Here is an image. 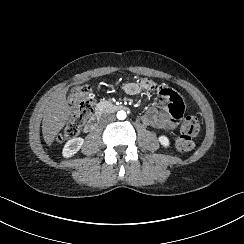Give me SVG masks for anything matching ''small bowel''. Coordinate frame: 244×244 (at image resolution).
Here are the masks:
<instances>
[{"instance_id":"small-bowel-1","label":"small bowel","mask_w":244,"mask_h":244,"mask_svg":"<svg viewBox=\"0 0 244 244\" xmlns=\"http://www.w3.org/2000/svg\"><path fill=\"white\" fill-rule=\"evenodd\" d=\"M123 90L131 96L138 95L142 91L157 94L155 102L141 116L144 125L169 130L176 126L183 113L184 105L180 95L174 89L153 80L143 78L138 82L127 83L123 86Z\"/></svg>"}]
</instances>
